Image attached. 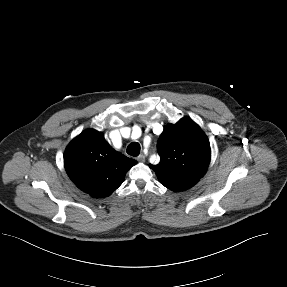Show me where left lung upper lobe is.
Returning <instances> with one entry per match:
<instances>
[{"label":"left lung upper lobe","instance_id":"obj_1","mask_svg":"<svg viewBox=\"0 0 287 287\" xmlns=\"http://www.w3.org/2000/svg\"><path fill=\"white\" fill-rule=\"evenodd\" d=\"M161 161L150 165L162 185L173 191L194 186L205 174L211 157L210 143L201 128L184 117L165 126L158 144Z\"/></svg>","mask_w":287,"mask_h":287}]
</instances>
